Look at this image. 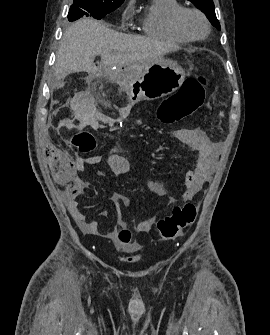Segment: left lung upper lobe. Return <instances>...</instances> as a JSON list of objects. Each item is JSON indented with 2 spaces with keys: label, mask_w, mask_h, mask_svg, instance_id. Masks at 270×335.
<instances>
[{
  "label": "left lung upper lobe",
  "mask_w": 270,
  "mask_h": 335,
  "mask_svg": "<svg viewBox=\"0 0 270 335\" xmlns=\"http://www.w3.org/2000/svg\"><path fill=\"white\" fill-rule=\"evenodd\" d=\"M194 5L199 8L202 12H204L209 19V21L212 23V25L217 28L218 30H221L220 23L217 20L216 14H215V8L214 3L212 0H189Z\"/></svg>",
  "instance_id": "1"
}]
</instances>
